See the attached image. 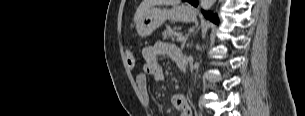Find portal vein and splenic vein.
<instances>
[{"label":"portal vein and splenic vein","instance_id":"portal-vein-and-splenic-vein-1","mask_svg":"<svg viewBox=\"0 0 305 116\" xmlns=\"http://www.w3.org/2000/svg\"><path fill=\"white\" fill-rule=\"evenodd\" d=\"M177 41L184 42V41H186V38L184 36H179L177 38Z\"/></svg>","mask_w":305,"mask_h":116}]
</instances>
